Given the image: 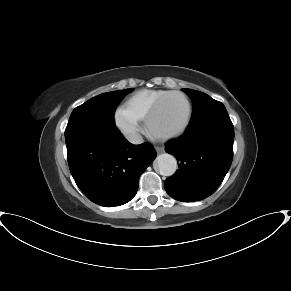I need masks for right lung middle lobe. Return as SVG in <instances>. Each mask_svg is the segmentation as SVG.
I'll return each instance as SVG.
<instances>
[{
	"label": "right lung middle lobe",
	"instance_id": "obj_1",
	"mask_svg": "<svg viewBox=\"0 0 291 291\" xmlns=\"http://www.w3.org/2000/svg\"><path fill=\"white\" fill-rule=\"evenodd\" d=\"M132 90L112 91L91 98L72 111L69 122L77 119H85L114 124V112L117 105Z\"/></svg>",
	"mask_w": 291,
	"mask_h": 291
}]
</instances>
